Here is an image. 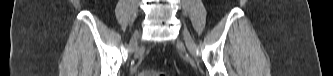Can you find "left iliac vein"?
I'll return each instance as SVG.
<instances>
[{
	"label": "left iliac vein",
	"instance_id": "1",
	"mask_svg": "<svg viewBox=\"0 0 333 76\" xmlns=\"http://www.w3.org/2000/svg\"><path fill=\"white\" fill-rule=\"evenodd\" d=\"M184 36V40L186 42L187 48L188 50L192 53L195 54V50H196V45L192 39V37L190 36V34L187 31H184L183 33Z\"/></svg>",
	"mask_w": 333,
	"mask_h": 76
}]
</instances>
